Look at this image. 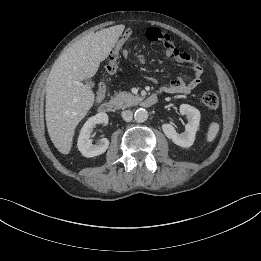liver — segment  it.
<instances>
[{
  "mask_svg": "<svg viewBox=\"0 0 261 261\" xmlns=\"http://www.w3.org/2000/svg\"><path fill=\"white\" fill-rule=\"evenodd\" d=\"M124 30L117 25L85 36L55 61L46 81L45 117L54 146L68 154L76 126L94 104L91 86L82 81L93 77Z\"/></svg>",
  "mask_w": 261,
  "mask_h": 261,
  "instance_id": "obj_1",
  "label": "liver"
}]
</instances>
